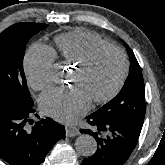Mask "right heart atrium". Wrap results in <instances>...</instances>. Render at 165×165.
<instances>
[{
    "mask_svg": "<svg viewBox=\"0 0 165 165\" xmlns=\"http://www.w3.org/2000/svg\"><path fill=\"white\" fill-rule=\"evenodd\" d=\"M56 54L50 47L36 43L26 53L24 67L28 84L35 90H43L54 82Z\"/></svg>",
    "mask_w": 165,
    "mask_h": 165,
    "instance_id": "obj_1",
    "label": "right heart atrium"
}]
</instances>
